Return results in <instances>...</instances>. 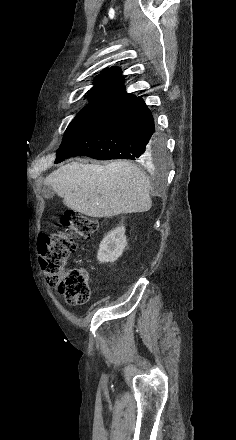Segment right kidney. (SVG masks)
<instances>
[{
  "label": "right kidney",
  "instance_id": "obj_1",
  "mask_svg": "<svg viewBox=\"0 0 236 440\" xmlns=\"http://www.w3.org/2000/svg\"><path fill=\"white\" fill-rule=\"evenodd\" d=\"M127 245L125 227L119 226L113 229L100 243L97 259L101 263L114 262L123 253Z\"/></svg>",
  "mask_w": 236,
  "mask_h": 440
}]
</instances>
